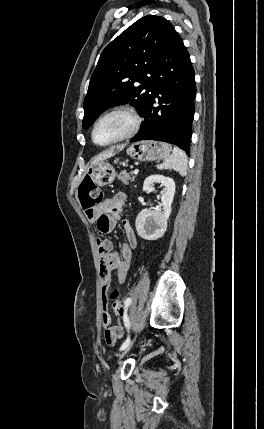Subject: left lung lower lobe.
I'll list each match as a JSON object with an SVG mask.
<instances>
[{"instance_id": "0a47b994", "label": "left lung lower lobe", "mask_w": 264, "mask_h": 429, "mask_svg": "<svg viewBox=\"0 0 264 429\" xmlns=\"http://www.w3.org/2000/svg\"><path fill=\"white\" fill-rule=\"evenodd\" d=\"M196 85L190 56L173 28L152 78L150 98L141 115L145 121L131 139L175 144L189 155ZM159 106L155 107V99Z\"/></svg>"}]
</instances>
